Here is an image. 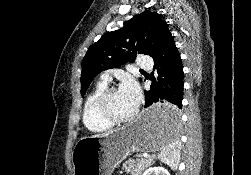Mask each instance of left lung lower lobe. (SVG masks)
I'll return each instance as SVG.
<instances>
[{"label": "left lung lower lobe", "mask_w": 251, "mask_h": 175, "mask_svg": "<svg viewBox=\"0 0 251 175\" xmlns=\"http://www.w3.org/2000/svg\"><path fill=\"white\" fill-rule=\"evenodd\" d=\"M152 58L158 77L150 78L151 90L145 91V108L152 107L142 121L150 126L177 124L182 118L183 66L171 32Z\"/></svg>", "instance_id": "0a47b994"}]
</instances>
